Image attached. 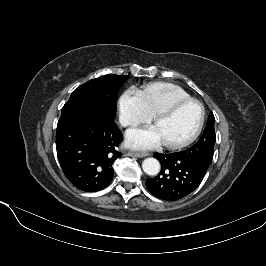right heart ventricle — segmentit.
I'll list each match as a JSON object with an SVG mask.
<instances>
[{"label": "right heart ventricle", "instance_id": "obj_1", "mask_svg": "<svg viewBox=\"0 0 266 266\" xmlns=\"http://www.w3.org/2000/svg\"><path fill=\"white\" fill-rule=\"evenodd\" d=\"M141 93L151 115H155L158 111L176 101L190 98V95L184 89L168 82L148 84Z\"/></svg>", "mask_w": 266, "mask_h": 266}]
</instances>
